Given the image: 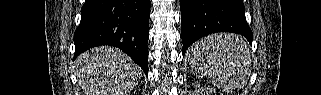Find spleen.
I'll list each match as a JSON object with an SVG mask.
<instances>
[{
    "mask_svg": "<svg viewBox=\"0 0 321 95\" xmlns=\"http://www.w3.org/2000/svg\"><path fill=\"white\" fill-rule=\"evenodd\" d=\"M189 64L218 89L233 91L245 86L251 69L247 42L236 34L207 36L188 51Z\"/></svg>",
    "mask_w": 321,
    "mask_h": 95,
    "instance_id": "3e777b00",
    "label": "spleen"
}]
</instances>
